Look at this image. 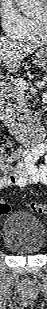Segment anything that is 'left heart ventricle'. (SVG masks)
<instances>
[{"label": "left heart ventricle", "mask_w": 47, "mask_h": 309, "mask_svg": "<svg viewBox=\"0 0 47 309\" xmlns=\"http://www.w3.org/2000/svg\"><path fill=\"white\" fill-rule=\"evenodd\" d=\"M44 16H45V13L43 12L40 14L39 18H44Z\"/></svg>", "instance_id": "1"}]
</instances>
